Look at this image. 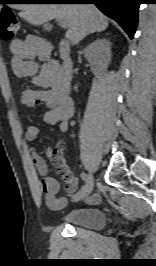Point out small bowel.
Listing matches in <instances>:
<instances>
[{
  "instance_id": "small-bowel-1",
  "label": "small bowel",
  "mask_w": 156,
  "mask_h": 266,
  "mask_svg": "<svg viewBox=\"0 0 156 266\" xmlns=\"http://www.w3.org/2000/svg\"><path fill=\"white\" fill-rule=\"evenodd\" d=\"M44 43L34 36L26 39H16L10 43L11 68L16 77H32L38 87L23 91L19 96L20 104L27 108L37 105H46L47 110L43 119L47 124L58 126L64 132L74 113V105L69 95V88L60 80L58 65L49 60L41 47ZM36 60L43 61L39 69ZM39 134L36 126H29L25 133L28 141H34ZM32 160L40 175L41 190L45 195L46 204L52 210H61L67 205L64 197L58 196L60 185L58 181L48 175L47 164L44 158L31 148ZM46 156L53 161L54 165L65 181V189L73 193L77 189V179L65 163L61 148L47 147ZM99 194H94L86 199L89 204H97L101 201Z\"/></svg>"
}]
</instances>
